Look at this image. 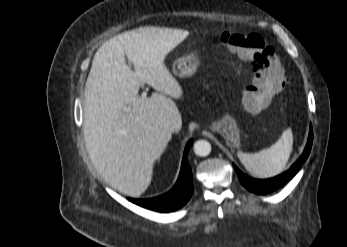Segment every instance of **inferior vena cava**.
Returning a JSON list of instances; mask_svg holds the SVG:
<instances>
[{
    "mask_svg": "<svg viewBox=\"0 0 347 247\" xmlns=\"http://www.w3.org/2000/svg\"><path fill=\"white\" fill-rule=\"evenodd\" d=\"M166 127H167L169 130H172V129H173V126H172V124H170V123H168V124L166 125Z\"/></svg>",
    "mask_w": 347,
    "mask_h": 247,
    "instance_id": "1",
    "label": "inferior vena cava"
}]
</instances>
